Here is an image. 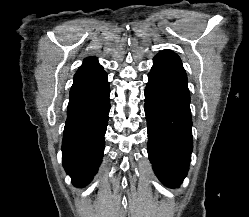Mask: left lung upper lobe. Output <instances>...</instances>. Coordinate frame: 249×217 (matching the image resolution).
Returning a JSON list of instances; mask_svg holds the SVG:
<instances>
[{
    "label": "left lung upper lobe",
    "mask_w": 249,
    "mask_h": 217,
    "mask_svg": "<svg viewBox=\"0 0 249 217\" xmlns=\"http://www.w3.org/2000/svg\"><path fill=\"white\" fill-rule=\"evenodd\" d=\"M156 56H171V57H173L175 59L180 60L179 56L177 54H175L174 52L170 51V50L161 51Z\"/></svg>",
    "instance_id": "obj_1"
}]
</instances>
